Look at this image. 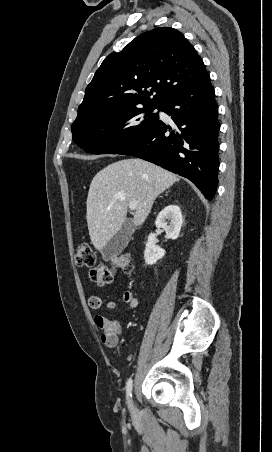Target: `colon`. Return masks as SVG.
<instances>
[{
    "mask_svg": "<svg viewBox=\"0 0 272 452\" xmlns=\"http://www.w3.org/2000/svg\"><path fill=\"white\" fill-rule=\"evenodd\" d=\"M75 264L78 267L89 268L91 280L100 286L111 284L117 270H121L124 273L132 271V259L129 253L113 256L110 260V265L97 264L96 254L86 242L78 244L75 252Z\"/></svg>",
    "mask_w": 272,
    "mask_h": 452,
    "instance_id": "5ec220e1",
    "label": "colon"
}]
</instances>
